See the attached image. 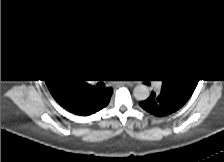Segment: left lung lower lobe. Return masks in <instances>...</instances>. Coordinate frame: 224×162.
<instances>
[{
    "label": "left lung lower lobe",
    "instance_id": "left-lung-lower-lobe-1",
    "mask_svg": "<svg viewBox=\"0 0 224 162\" xmlns=\"http://www.w3.org/2000/svg\"><path fill=\"white\" fill-rule=\"evenodd\" d=\"M190 96L191 93L183 89L162 87L160 94L152 92L146 101L140 102V106L153 115L165 116L180 109Z\"/></svg>",
    "mask_w": 224,
    "mask_h": 162
}]
</instances>
